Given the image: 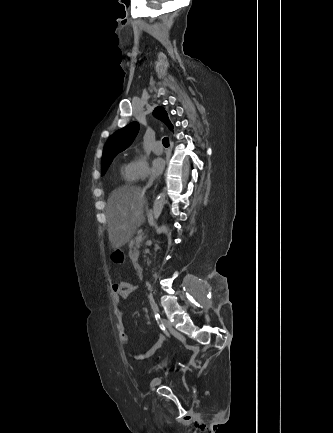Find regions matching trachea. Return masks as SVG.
Wrapping results in <instances>:
<instances>
[{"label": "trachea", "instance_id": "trachea-1", "mask_svg": "<svg viewBox=\"0 0 333 433\" xmlns=\"http://www.w3.org/2000/svg\"><path fill=\"white\" fill-rule=\"evenodd\" d=\"M162 143L165 147H169V140L167 137L163 138Z\"/></svg>", "mask_w": 333, "mask_h": 433}]
</instances>
